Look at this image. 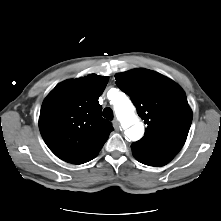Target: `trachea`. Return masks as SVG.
I'll return each mask as SVG.
<instances>
[{"instance_id":"1","label":"trachea","mask_w":221,"mask_h":221,"mask_svg":"<svg viewBox=\"0 0 221 221\" xmlns=\"http://www.w3.org/2000/svg\"><path fill=\"white\" fill-rule=\"evenodd\" d=\"M103 116H104L106 119L112 121L113 118H114L112 109L109 108V107H106V108L103 110Z\"/></svg>"}]
</instances>
